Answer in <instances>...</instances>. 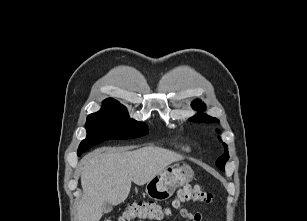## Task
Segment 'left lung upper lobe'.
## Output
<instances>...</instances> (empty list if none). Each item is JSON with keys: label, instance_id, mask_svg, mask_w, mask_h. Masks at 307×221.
Segmentation results:
<instances>
[{"label": "left lung upper lobe", "instance_id": "5c2ea615", "mask_svg": "<svg viewBox=\"0 0 307 221\" xmlns=\"http://www.w3.org/2000/svg\"><path fill=\"white\" fill-rule=\"evenodd\" d=\"M203 106H204V104L199 100L194 101L192 103V107L196 110H200ZM190 120H194L196 122H211V123L218 121L214 117H211V116H208V115H203L201 113H199L196 116L190 118ZM224 147H225V153L223 154V156L218 158V160L216 161L217 167L220 168L223 171H224V164L229 159L228 148H227V145L225 143H224Z\"/></svg>", "mask_w": 307, "mask_h": 221}]
</instances>
